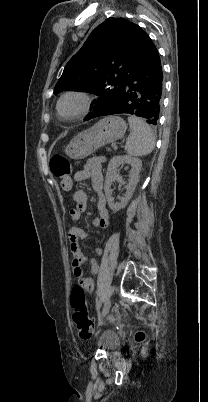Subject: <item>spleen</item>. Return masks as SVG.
Returning a JSON list of instances; mask_svg holds the SVG:
<instances>
[{
	"label": "spleen",
	"instance_id": "spleen-1",
	"mask_svg": "<svg viewBox=\"0 0 208 402\" xmlns=\"http://www.w3.org/2000/svg\"><path fill=\"white\" fill-rule=\"evenodd\" d=\"M131 134L127 138L125 150L129 156H147L155 146L153 130L145 120L130 116L128 118Z\"/></svg>",
	"mask_w": 208,
	"mask_h": 402
}]
</instances>
